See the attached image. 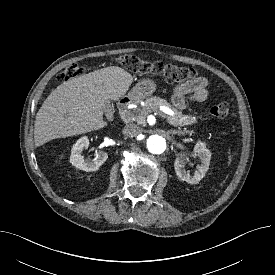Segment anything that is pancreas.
Segmentation results:
<instances>
[{
	"instance_id": "pancreas-1",
	"label": "pancreas",
	"mask_w": 275,
	"mask_h": 275,
	"mask_svg": "<svg viewBox=\"0 0 275 275\" xmlns=\"http://www.w3.org/2000/svg\"><path fill=\"white\" fill-rule=\"evenodd\" d=\"M165 106L173 111V115H167V121L174 126L192 125L197 122L196 117L184 115L176 108L172 107L166 100L153 96L145 100L144 106L135 111L134 118L141 124L145 122V117L152 112L159 113V107Z\"/></svg>"
}]
</instances>
